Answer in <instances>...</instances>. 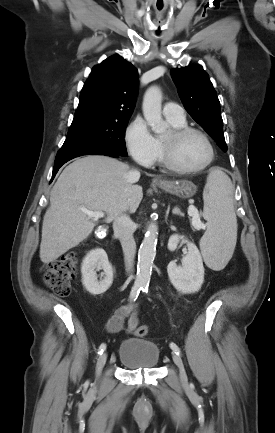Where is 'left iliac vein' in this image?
<instances>
[{
  "mask_svg": "<svg viewBox=\"0 0 275 433\" xmlns=\"http://www.w3.org/2000/svg\"><path fill=\"white\" fill-rule=\"evenodd\" d=\"M172 357H173L174 363L176 364V366L179 369L181 381L183 383H186L187 382V375H186V371H185L184 364L182 362L181 357L178 354H176L175 352H173Z\"/></svg>",
  "mask_w": 275,
  "mask_h": 433,
  "instance_id": "4c4485c4",
  "label": "left iliac vein"
}]
</instances>
